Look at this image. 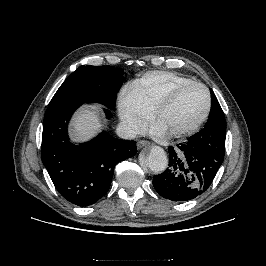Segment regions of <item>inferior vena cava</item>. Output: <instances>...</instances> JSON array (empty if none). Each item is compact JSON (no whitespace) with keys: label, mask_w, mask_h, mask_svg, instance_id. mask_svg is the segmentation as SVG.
<instances>
[{"label":"inferior vena cava","mask_w":266,"mask_h":266,"mask_svg":"<svg viewBox=\"0 0 266 266\" xmlns=\"http://www.w3.org/2000/svg\"><path fill=\"white\" fill-rule=\"evenodd\" d=\"M117 133L123 139H133L140 133V129L136 125L121 122L117 127Z\"/></svg>","instance_id":"obj_1"}]
</instances>
